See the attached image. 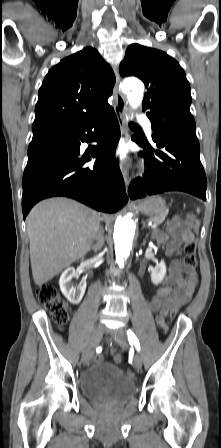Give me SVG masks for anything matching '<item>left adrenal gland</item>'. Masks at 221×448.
Instances as JSON below:
<instances>
[{"instance_id": "obj_1", "label": "left adrenal gland", "mask_w": 221, "mask_h": 448, "mask_svg": "<svg viewBox=\"0 0 221 448\" xmlns=\"http://www.w3.org/2000/svg\"><path fill=\"white\" fill-rule=\"evenodd\" d=\"M144 227H146V223H145V222H143V228H144Z\"/></svg>"}]
</instances>
